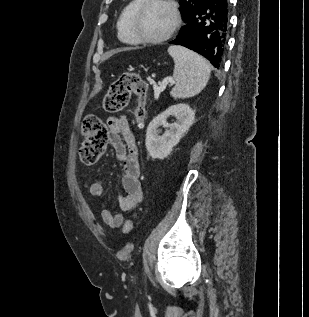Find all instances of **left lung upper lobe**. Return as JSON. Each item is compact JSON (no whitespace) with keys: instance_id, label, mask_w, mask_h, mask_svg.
Wrapping results in <instances>:
<instances>
[{"instance_id":"left-lung-upper-lobe-1","label":"left lung upper lobe","mask_w":309,"mask_h":317,"mask_svg":"<svg viewBox=\"0 0 309 317\" xmlns=\"http://www.w3.org/2000/svg\"><path fill=\"white\" fill-rule=\"evenodd\" d=\"M204 0H180V12L182 17L185 18L194 9H196Z\"/></svg>"}]
</instances>
